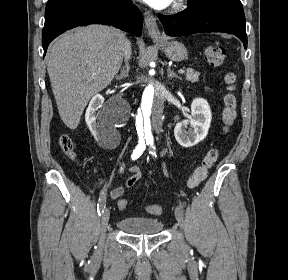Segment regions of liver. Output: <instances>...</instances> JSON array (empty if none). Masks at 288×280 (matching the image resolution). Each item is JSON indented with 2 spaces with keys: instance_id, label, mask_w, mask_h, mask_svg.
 <instances>
[{
  "instance_id": "6515ba94",
  "label": "liver",
  "mask_w": 288,
  "mask_h": 280,
  "mask_svg": "<svg viewBox=\"0 0 288 280\" xmlns=\"http://www.w3.org/2000/svg\"><path fill=\"white\" fill-rule=\"evenodd\" d=\"M125 41L119 29L89 25L50 45L47 71L59 115L70 129L77 128L89 100L118 73Z\"/></svg>"
}]
</instances>
